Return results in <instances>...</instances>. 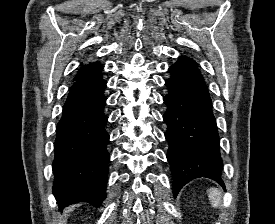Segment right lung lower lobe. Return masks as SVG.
Instances as JSON below:
<instances>
[{
	"label": "right lung lower lobe",
	"instance_id": "right-lung-lower-lobe-1",
	"mask_svg": "<svg viewBox=\"0 0 275 224\" xmlns=\"http://www.w3.org/2000/svg\"><path fill=\"white\" fill-rule=\"evenodd\" d=\"M107 82L101 73L77 80L56 127L53 194L61 207L100 206L106 198L109 134L104 114Z\"/></svg>",
	"mask_w": 275,
	"mask_h": 224
}]
</instances>
